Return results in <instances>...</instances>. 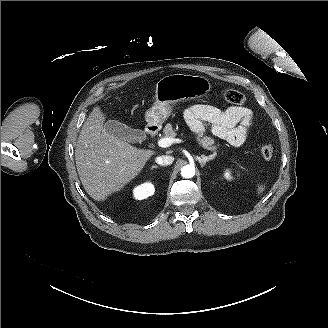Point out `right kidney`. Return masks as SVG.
Returning a JSON list of instances; mask_svg holds the SVG:
<instances>
[{
  "label": "right kidney",
  "mask_w": 328,
  "mask_h": 328,
  "mask_svg": "<svg viewBox=\"0 0 328 328\" xmlns=\"http://www.w3.org/2000/svg\"><path fill=\"white\" fill-rule=\"evenodd\" d=\"M153 193L154 187L151 184L141 185L134 190L137 199H143L144 197L151 196Z\"/></svg>",
  "instance_id": "right-kidney-1"
}]
</instances>
